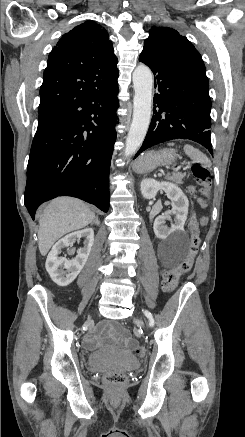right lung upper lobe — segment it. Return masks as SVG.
Returning <instances> with one entry per match:
<instances>
[{"label": "right lung upper lobe", "mask_w": 245, "mask_h": 437, "mask_svg": "<svg viewBox=\"0 0 245 437\" xmlns=\"http://www.w3.org/2000/svg\"><path fill=\"white\" fill-rule=\"evenodd\" d=\"M117 63L105 29L92 20L74 27L49 54L38 112L110 86L118 78Z\"/></svg>", "instance_id": "right-lung-upper-lobe-1"}]
</instances>
